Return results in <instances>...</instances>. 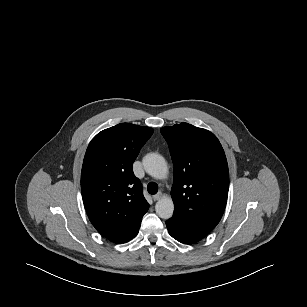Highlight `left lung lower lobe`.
I'll return each instance as SVG.
<instances>
[{"mask_svg": "<svg viewBox=\"0 0 307 307\" xmlns=\"http://www.w3.org/2000/svg\"><path fill=\"white\" fill-rule=\"evenodd\" d=\"M166 226L168 228L170 235L179 242H182L184 244H192L198 242L203 238L185 229L181 224H179L177 221L173 220L172 218L166 222Z\"/></svg>", "mask_w": 307, "mask_h": 307, "instance_id": "1", "label": "left lung lower lobe"}]
</instances>
